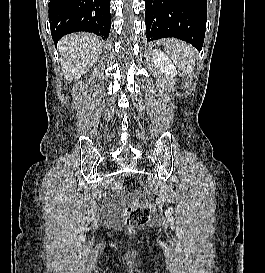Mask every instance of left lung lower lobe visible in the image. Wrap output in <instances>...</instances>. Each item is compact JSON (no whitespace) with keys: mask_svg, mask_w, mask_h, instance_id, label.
Wrapping results in <instances>:
<instances>
[{"mask_svg":"<svg viewBox=\"0 0 265 273\" xmlns=\"http://www.w3.org/2000/svg\"><path fill=\"white\" fill-rule=\"evenodd\" d=\"M145 7L148 41L174 37L202 49L207 0H145Z\"/></svg>","mask_w":265,"mask_h":273,"instance_id":"left-lung-lower-lobe-1","label":"left lung lower lobe"}]
</instances>
